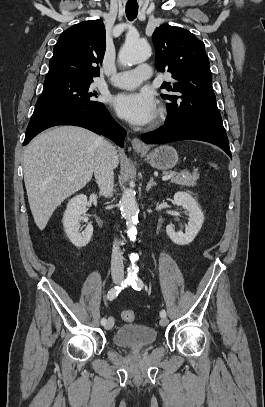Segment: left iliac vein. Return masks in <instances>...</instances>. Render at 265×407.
<instances>
[{"label":"left iliac vein","mask_w":265,"mask_h":407,"mask_svg":"<svg viewBox=\"0 0 265 407\" xmlns=\"http://www.w3.org/2000/svg\"><path fill=\"white\" fill-rule=\"evenodd\" d=\"M160 325L161 326H166L167 324H168V319L167 318H165V317H162L161 319H160Z\"/></svg>","instance_id":"4c4485c4"}]
</instances>
